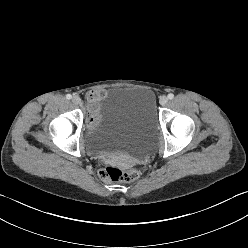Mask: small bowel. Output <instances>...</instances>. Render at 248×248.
Instances as JSON below:
<instances>
[{
  "label": "small bowel",
  "mask_w": 248,
  "mask_h": 248,
  "mask_svg": "<svg viewBox=\"0 0 248 248\" xmlns=\"http://www.w3.org/2000/svg\"><path fill=\"white\" fill-rule=\"evenodd\" d=\"M106 95L104 90L91 91L88 94L89 109L91 113V121L97 120L98 102L103 99Z\"/></svg>",
  "instance_id": "c3829d8e"
}]
</instances>
